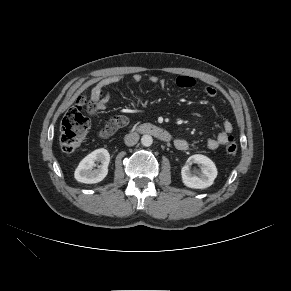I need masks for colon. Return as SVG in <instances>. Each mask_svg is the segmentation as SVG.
Returning <instances> with one entry per match:
<instances>
[{
  "mask_svg": "<svg viewBox=\"0 0 291 291\" xmlns=\"http://www.w3.org/2000/svg\"><path fill=\"white\" fill-rule=\"evenodd\" d=\"M86 101L79 99L77 103L72 106L64 118L60 126V146L64 152L70 153L75 151L85 139L87 131L90 126V121L84 114V107ZM125 123V118L116 117L110 123L111 130H116L119 126ZM237 144L232 136H229L225 145L226 153L233 157L237 154Z\"/></svg>",
  "mask_w": 291,
  "mask_h": 291,
  "instance_id": "5ec220e1",
  "label": "colon"
}]
</instances>
